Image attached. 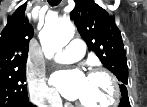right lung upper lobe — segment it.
I'll return each instance as SVG.
<instances>
[{
	"label": "right lung upper lobe",
	"mask_w": 147,
	"mask_h": 107,
	"mask_svg": "<svg viewBox=\"0 0 147 107\" xmlns=\"http://www.w3.org/2000/svg\"><path fill=\"white\" fill-rule=\"evenodd\" d=\"M27 3H24L8 18L0 38V73L26 66L29 42L33 27L25 18Z\"/></svg>",
	"instance_id": "right-lung-upper-lobe-1"
}]
</instances>
